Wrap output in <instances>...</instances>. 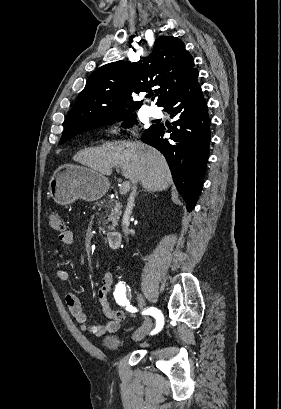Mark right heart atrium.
Listing matches in <instances>:
<instances>
[{"mask_svg": "<svg viewBox=\"0 0 281 409\" xmlns=\"http://www.w3.org/2000/svg\"><path fill=\"white\" fill-rule=\"evenodd\" d=\"M129 127L128 122L124 119H117L111 124L107 125L103 129V135L106 137H111L114 134H117L118 132L125 130Z\"/></svg>", "mask_w": 281, "mask_h": 409, "instance_id": "obj_1", "label": "right heart atrium"}]
</instances>
